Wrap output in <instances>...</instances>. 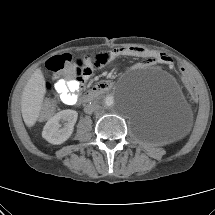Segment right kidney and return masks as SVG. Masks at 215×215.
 Instances as JSON below:
<instances>
[{"instance_id":"obj_1","label":"right kidney","mask_w":215,"mask_h":215,"mask_svg":"<svg viewBox=\"0 0 215 215\" xmlns=\"http://www.w3.org/2000/svg\"><path fill=\"white\" fill-rule=\"evenodd\" d=\"M78 113L74 110H62L51 117L45 124L42 137L51 144L64 143L73 133ZM64 123L63 126L60 123Z\"/></svg>"}]
</instances>
